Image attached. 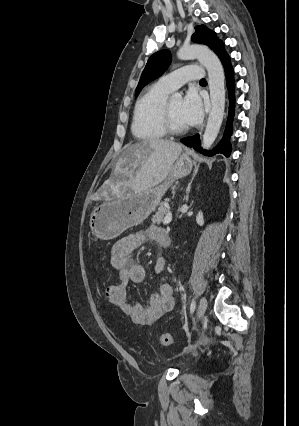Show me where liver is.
Returning a JSON list of instances; mask_svg holds the SVG:
<instances>
[{
	"instance_id": "obj_1",
	"label": "liver",
	"mask_w": 299,
	"mask_h": 426,
	"mask_svg": "<svg viewBox=\"0 0 299 426\" xmlns=\"http://www.w3.org/2000/svg\"><path fill=\"white\" fill-rule=\"evenodd\" d=\"M183 146L159 138L127 145L114 169L115 176L125 178L133 192L153 188L168 176Z\"/></svg>"
}]
</instances>
